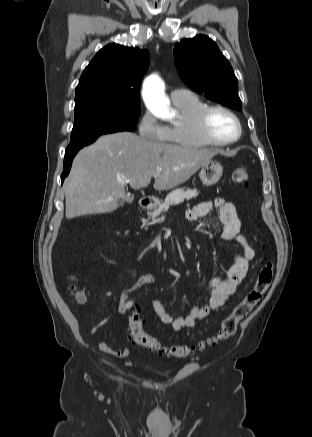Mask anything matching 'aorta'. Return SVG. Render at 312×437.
<instances>
[{"mask_svg":"<svg viewBox=\"0 0 312 437\" xmlns=\"http://www.w3.org/2000/svg\"><path fill=\"white\" fill-rule=\"evenodd\" d=\"M143 99L151 113L161 119L171 117L169 100L164 92V84L156 75L149 76L143 85Z\"/></svg>","mask_w":312,"mask_h":437,"instance_id":"aorta-1","label":"aorta"}]
</instances>
